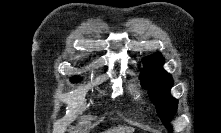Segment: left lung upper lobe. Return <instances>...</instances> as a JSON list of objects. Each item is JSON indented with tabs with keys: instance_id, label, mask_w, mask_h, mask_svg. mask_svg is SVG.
Segmentation results:
<instances>
[{
	"instance_id": "left-lung-upper-lobe-1",
	"label": "left lung upper lobe",
	"mask_w": 221,
	"mask_h": 133,
	"mask_svg": "<svg viewBox=\"0 0 221 133\" xmlns=\"http://www.w3.org/2000/svg\"><path fill=\"white\" fill-rule=\"evenodd\" d=\"M163 62L162 55L159 53L144 58L140 80L142 87L149 90V96L157 106L164 125L171 130L168 120L175 113L178 102L169 94L173 80L171 75L163 70Z\"/></svg>"
}]
</instances>
